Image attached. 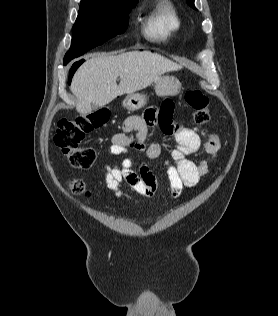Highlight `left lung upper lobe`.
Returning <instances> with one entry per match:
<instances>
[{
  "instance_id": "left-lung-upper-lobe-1",
  "label": "left lung upper lobe",
  "mask_w": 278,
  "mask_h": 316,
  "mask_svg": "<svg viewBox=\"0 0 278 316\" xmlns=\"http://www.w3.org/2000/svg\"><path fill=\"white\" fill-rule=\"evenodd\" d=\"M187 2L189 3V5H190L191 7H193L194 9H196L195 6H194V0H187Z\"/></svg>"
}]
</instances>
